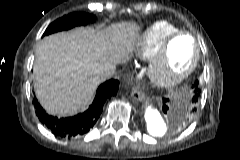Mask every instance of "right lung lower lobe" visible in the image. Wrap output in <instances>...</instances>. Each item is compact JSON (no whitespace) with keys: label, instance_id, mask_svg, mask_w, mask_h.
<instances>
[{"label":"right lung lower lobe","instance_id":"98d812e1","mask_svg":"<svg viewBox=\"0 0 240 160\" xmlns=\"http://www.w3.org/2000/svg\"><path fill=\"white\" fill-rule=\"evenodd\" d=\"M118 88L119 81L113 79L106 81L97 89L96 97L88 110L68 118L58 119L48 115L36 97L33 99V104L36 115L44 126L56 136L71 138L87 133L95 125L102 113L104 103L117 94Z\"/></svg>","mask_w":240,"mask_h":160}]
</instances>
